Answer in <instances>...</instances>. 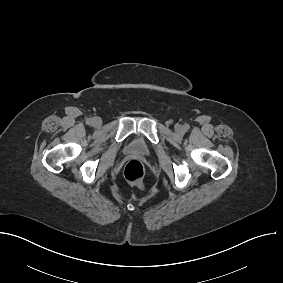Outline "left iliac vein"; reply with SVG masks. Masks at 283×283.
<instances>
[{"instance_id":"obj_1","label":"left iliac vein","mask_w":283,"mask_h":283,"mask_svg":"<svg viewBox=\"0 0 283 283\" xmlns=\"http://www.w3.org/2000/svg\"><path fill=\"white\" fill-rule=\"evenodd\" d=\"M175 131H176L177 133H181V132L183 131V127H182L181 125H176V126H175Z\"/></svg>"}]
</instances>
